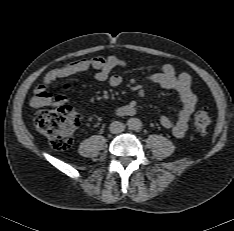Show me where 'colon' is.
<instances>
[{
    "instance_id": "5ec220e1",
    "label": "colon",
    "mask_w": 234,
    "mask_h": 231,
    "mask_svg": "<svg viewBox=\"0 0 234 231\" xmlns=\"http://www.w3.org/2000/svg\"><path fill=\"white\" fill-rule=\"evenodd\" d=\"M79 114L71 107H60L54 110H41L34 117V126L44 134L51 146L57 150H65L72 143V132L79 125ZM211 124L207 110L199 109L194 114L196 129L205 133Z\"/></svg>"
}]
</instances>
